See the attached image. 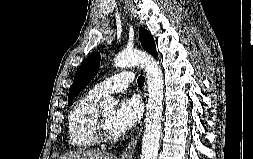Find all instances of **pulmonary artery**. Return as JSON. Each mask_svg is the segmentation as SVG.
I'll use <instances>...</instances> for the list:
<instances>
[{
	"mask_svg": "<svg viewBox=\"0 0 253 159\" xmlns=\"http://www.w3.org/2000/svg\"><path fill=\"white\" fill-rule=\"evenodd\" d=\"M132 81L133 73L130 70H125L95 84L91 91L102 97L108 96L127 89Z\"/></svg>",
	"mask_w": 253,
	"mask_h": 159,
	"instance_id": "1",
	"label": "pulmonary artery"
}]
</instances>
